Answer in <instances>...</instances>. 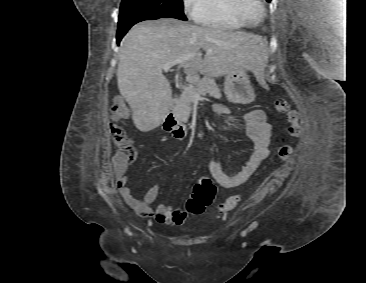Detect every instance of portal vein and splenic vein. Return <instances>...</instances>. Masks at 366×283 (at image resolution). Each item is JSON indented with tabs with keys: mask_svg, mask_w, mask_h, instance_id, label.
<instances>
[{
	"mask_svg": "<svg viewBox=\"0 0 366 283\" xmlns=\"http://www.w3.org/2000/svg\"><path fill=\"white\" fill-rule=\"evenodd\" d=\"M181 60H175V61H171V62H168V63H165L161 66V69L165 72H169L170 69L175 66L176 64L180 63ZM183 90L184 91H190V90H193V86L189 85V86H183Z\"/></svg>",
	"mask_w": 366,
	"mask_h": 283,
	"instance_id": "1",
	"label": "portal vein and splenic vein"
}]
</instances>
